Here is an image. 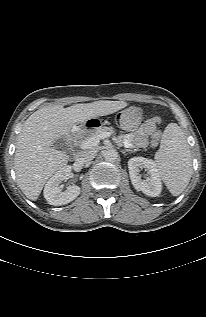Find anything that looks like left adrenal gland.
Returning <instances> with one entry per match:
<instances>
[{
    "instance_id": "obj_1",
    "label": "left adrenal gland",
    "mask_w": 206,
    "mask_h": 317,
    "mask_svg": "<svg viewBox=\"0 0 206 317\" xmlns=\"http://www.w3.org/2000/svg\"><path fill=\"white\" fill-rule=\"evenodd\" d=\"M136 151H137V150L125 149V151H123V153H125V152L133 153V152H136Z\"/></svg>"
}]
</instances>
